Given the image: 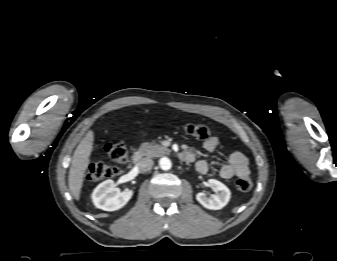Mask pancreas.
<instances>
[{
	"label": "pancreas",
	"mask_w": 337,
	"mask_h": 261,
	"mask_svg": "<svg viewBox=\"0 0 337 261\" xmlns=\"http://www.w3.org/2000/svg\"><path fill=\"white\" fill-rule=\"evenodd\" d=\"M139 152L147 157H159L170 152L169 149L154 143L145 142L139 147Z\"/></svg>",
	"instance_id": "obj_1"
}]
</instances>
